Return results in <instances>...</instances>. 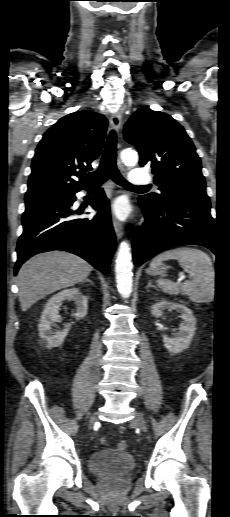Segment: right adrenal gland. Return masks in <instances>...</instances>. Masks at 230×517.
<instances>
[{"instance_id": "obj_1", "label": "right adrenal gland", "mask_w": 230, "mask_h": 517, "mask_svg": "<svg viewBox=\"0 0 230 517\" xmlns=\"http://www.w3.org/2000/svg\"><path fill=\"white\" fill-rule=\"evenodd\" d=\"M83 282H89L91 285H94V282L89 278H86Z\"/></svg>"}]
</instances>
